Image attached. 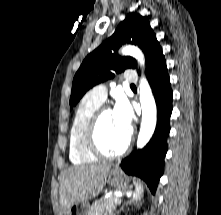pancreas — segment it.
Instances as JSON below:
<instances>
[{"label": "pancreas", "mask_w": 221, "mask_h": 215, "mask_svg": "<svg viewBox=\"0 0 221 215\" xmlns=\"http://www.w3.org/2000/svg\"><path fill=\"white\" fill-rule=\"evenodd\" d=\"M117 196H110L109 198H101L96 200L89 208L88 215H113L116 208L114 202Z\"/></svg>", "instance_id": "pancreas-1"}]
</instances>
